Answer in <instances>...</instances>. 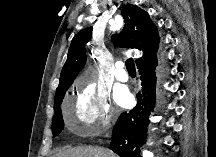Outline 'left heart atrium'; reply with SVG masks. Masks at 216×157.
<instances>
[{"instance_id": "39dd6f15", "label": "left heart atrium", "mask_w": 216, "mask_h": 157, "mask_svg": "<svg viewBox=\"0 0 216 157\" xmlns=\"http://www.w3.org/2000/svg\"><path fill=\"white\" fill-rule=\"evenodd\" d=\"M117 103L122 107H127L132 101V96L125 87H120L115 93Z\"/></svg>"}]
</instances>
